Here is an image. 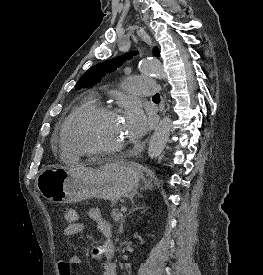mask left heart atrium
Segmentation results:
<instances>
[{
	"mask_svg": "<svg viewBox=\"0 0 263 275\" xmlns=\"http://www.w3.org/2000/svg\"><path fill=\"white\" fill-rule=\"evenodd\" d=\"M124 124L134 139L141 137L147 127L146 118L141 109L136 105L130 106L126 111Z\"/></svg>",
	"mask_w": 263,
	"mask_h": 275,
	"instance_id": "1",
	"label": "left heart atrium"
}]
</instances>
